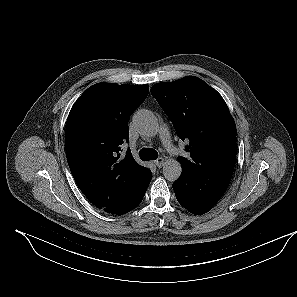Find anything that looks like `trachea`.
Wrapping results in <instances>:
<instances>
[{
	"label": "trachea",
	"instance_id": "1",
	"mask_svg": "<svg viewBox=\"0 0 297 297\" xmlns=\"http://www.w3.org/2000/svg\"><path fill=\"white\" fill-rule=\"evenodd\" d=\"M139 156L142 160H156L158 152L153 148H143L139 151Z\"/></svg>",
	"mask_w": 297,
	"mask_h": 297
}]
</instances>
